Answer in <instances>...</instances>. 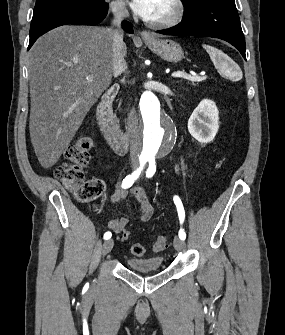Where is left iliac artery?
Segmentation results:
<instances>
[{
	"label": "left iliac artery",
	"mask_w": 285,
	"mask_h": 335,
	"mask_svg": "<svg viewBox=\"0 0 285 335\" xmlns=\"http://www.w3.org/2000/svg\"><path fill=\"white\" fill-rule=\"evenodd\" d=\"M155 171H156L155 160L154 159H149V167L146 171V176L148 178L152 177L154 175ZM173 200H174V203L177 207L180 223L182 224L183 221H184V218H185V211H184L182 202H181V200L178 196H174ZM179 238L181 240H185V238H186V234H185V232L182 228L179 231Z\"/></svg>",
	"instance_id": "obj_1"
}]
</instances>
